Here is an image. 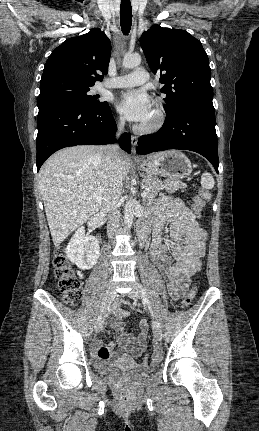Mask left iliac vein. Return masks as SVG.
Here are the masks:
<instances>
[{
  "mask_svg": "<svg viewBox=\"0 0 259 431\" xmlns=\"http://www.w3.org/2000/svg\"><path fill=\"white\" fill-rule=\"evenodd\" d=\"M128 296L133 300H138L141 297V290L138 285H134L133 289L128 293ZM152 330L155 340L160 341L162 339V331L159 324L156 321L152 322Z\"/></svg>",
  "mask_w": 259,
  "mask_h": 431,
  "instance_id": "obj_1",
  "label": "left iliac vein"
}]
</instances>
